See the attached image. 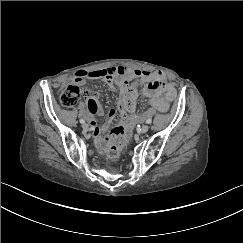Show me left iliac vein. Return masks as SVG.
I'll return each mask as SVG.
<instances>
[{
  "instance_id": "1",
  "label": "left iliac vein",
  "mask_w": 243,
  "mask_h": 243,
  "mask_svg": "<svg viewBox=\"0 0 243 243\" xmlns=\"http://www.w3.org/2000/svg\"><path fill=\"white\" fill-rule=\"evenodd\" d=\"M148 130H149V126H148V125H143V126L141 127V132H142V133H146Z\"/></svg>"
}]
</instances>
